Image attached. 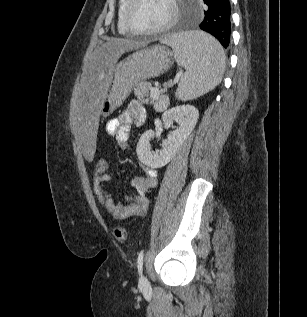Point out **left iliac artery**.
Here are the masks:
<instances>
[{"label": "left iliac artery", "mask_w": 307, "mask_h": 317, "mask_svg": "<svg viewBox=\"0 0 307 317\" xmlns=\"http://www.w3.org/2000/svg\"><path fill=\"white\" fill-rule=\"evenodd\" d=\"M143 258H144V250L142 249L139 254H138V258H137V267H138V272L142 273V269H143Z\"/></svg>", "instance_id": "1"}]
</instances>
